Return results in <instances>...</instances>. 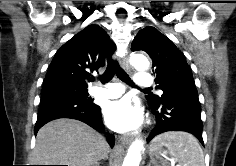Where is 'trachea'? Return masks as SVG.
I'll list each match as a JSON object with an SVG mask.
<instances>
[{"label":"trachea","mask_w":236,"mask_h":166,"mask_svg":"<svg viewBox=\"0 0 236 166\" xmlns=\"http://www.w3.org/2000/svg\"><path fill=\"white\" fill-rule=\"evenodd\" d=\"M114 75H116L121 81L125 82L126 84L134 86L133 81L130 79L128 74L118 65V63L115 61H110L100 79L103 83H107L114 77ZM145 90H150V88H146Z\"/></svg>","instance_id":"3493384b"}]
</instances>
